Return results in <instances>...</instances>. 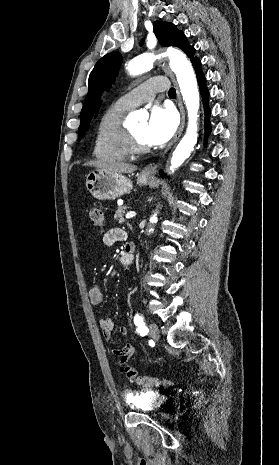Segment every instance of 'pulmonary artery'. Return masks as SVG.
Wrapping results in <instances>:
<instances>
[{"instance_id": "obj_1", "label": "pulmonary artery", "mask_w": 279, "mask_h": 465, "mask_svg": "<svg viewBox=\"0 0 279 465\" xmlns=\"http://www.w3.org/2000/svg\"><path fill=\"white\" fill-rule=\"evenodd\" d=\"M167 88V81L163 77H153L121 96L117 103L126 108H134L143 103L151 102L156 93Z\"/></svg>"}]
</instances>
